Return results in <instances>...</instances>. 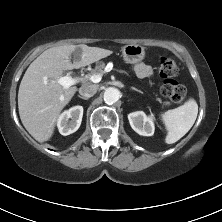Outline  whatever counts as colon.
Segmentation results:
<instances>
[{
  "mask_svg": "<svg viewBox=\"0 0 222 222\" xmlns=\"http://www.w3.org/2000/svg\"><path fill=\"white\" fill-rule=\"evenodd\" d=\"M159 72L163 77L161 93L175 103H182L186 98V89L174 79L179 73L177 62L168 56H162L159 59Z\"/></svg>",
  "mask_w": 222,
  "mask_h": 222,
  "instance_id": "obj_1",
  "label": "colon"
}]
</instances>
